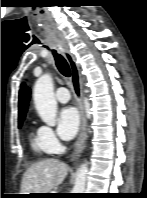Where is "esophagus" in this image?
<instances>
[{"instance_id":"1","label":"esophagus","mask_w":147,"mask_h":198,"mask_svg":"<svg viewBox=\"0 0 147 198\" xmlns=\"http://www.w3.org/2000/svg\"><path fill=\"white\" fill-rule=\"evenodd\" d=\"M59 49L67 59L71 68V81H72L73 91L78 102V107L81 117L80 133L76 141L75 149L72 155V160H75L83 151L87 140V120L83 105L82 81H81V75L78 64L76 63L73 55L70 53L68 46L65 43H63L59 47Z\"/></svg>"}]
</instances>
